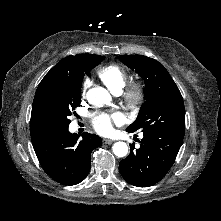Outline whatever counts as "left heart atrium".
Masks as SVG:
<instances>
[{
    "label": "left heart atrium",
    "instance_id": "39dd6f15",
    "mask_svg": "<svg viewBox=\"0 0 221 221\" xmlns=\"http://www.w3.org/2000/svg\"><path fill=\"white\" fill-rule=\"evenodd\" d=\"M91 122L98 133L109 134L113 124L122 122V116L118 112H94L91 114Z\"/></svg>",
    "mask_w": 221,
    "mask_h": 221
}]
</instances>
